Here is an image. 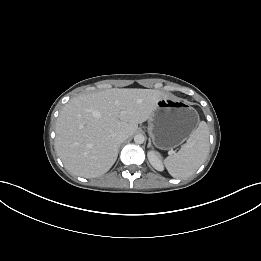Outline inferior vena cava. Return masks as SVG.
I'll return each mask as SVG.
<instances>
[{"label": "inferior vena cava", "mask_w": 261, "mask_h": 261, "mask_svg": "<svg viewBox=\"0 0 261 261\" xmlns=\"http://www.w3.org/2000/svg\"><path fill=\"white\" fill-rule=\"evenodd\" d=\"M112 137H113V140L119 145L128 138V135L124 132H116L113 134Z\"/></svg>", "instance_id": "1"}]
</instances>
